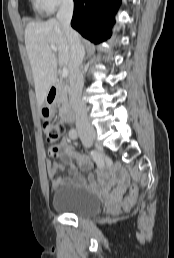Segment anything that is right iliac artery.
I'll list each match as a JSON object with an SVG mask.
<instances>
[{
  "instance_id": "obj_1",
  "label": "right iliac artery",
  "mask_w": 174,
  "mask_h": 258,
  "mask_svg": "<svg viewBox=\"0 0 174 258\" xmlns=\"http://www.w3.org/2000/svg\"><path fill=\"white\" fill-rule=\"evenodd\" d=\"M69 136L71 139H76L77 138V132L76 130H70L69 132ZM91 155L93 156V158L95 159V161L97 162L98 166L100 168H103L104 166V161L103 159L95 152L91 151Z\"/></svg>"
}]
</instances>
